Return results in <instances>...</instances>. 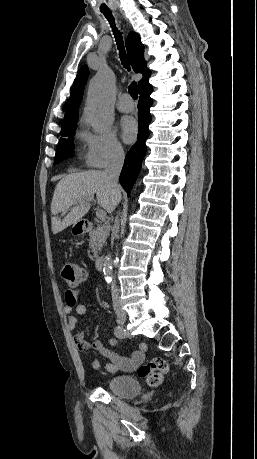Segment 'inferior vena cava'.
<instances>
[{
	"label": "inferior vena cava",
	"mask_w": 257,
	"mask_h": 459,
	"mask_svg": "<svg viewBox=\"0 0 257 459\" xmlns=\"http://www.w3.org/2000/svg\"><path fill=\"white\" fill-rule=\"evenodd\" d=\"M123 162H124L123 149L121 147L115 148L110 155L109 164L105 170V174L109 179L110 185L114 193H119L120 191L118 181H119L120 172L122 170ZM118 229H119V219L116 218L114 228H113V234L117 233ZM114 263H115V260H114ZM111 293H112L113 306L114 308H116L120 305L121 301L119 299V291L117 289L115 279L112 282Z\"/></svg>",
	"instance_id": "obj_1"
}]
</instances>
